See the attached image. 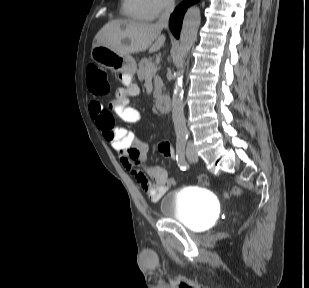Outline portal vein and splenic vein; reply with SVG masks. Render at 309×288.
<instances>
[{"mask_svg":"<svg viewBox=\"0 0 309 288\" xmlns=\"http://www.w3.org/2000/svg\"><path fill=\"white\" fill-rule=\"evenodd\" d=\"M156 71H157V67L152 66L148 69V75H152V74L156 73Z\"/></svg>","mask_w":309,"mask_h":288,"instance_id":"obj_1","label":"portal vein and splenic vein"}]
</instances>
